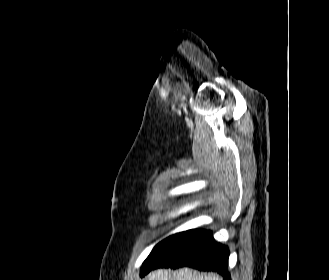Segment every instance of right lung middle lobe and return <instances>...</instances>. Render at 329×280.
<instances>
[{
    "mask_svg": "<svg viewBox=\"0 0 329 280\" xmlns=\"http://www.w3.org/2000/svg\"><path fill=\"white\" fill-rule=\"evenodd\" d=\"M180 234L181 233H177L165 238L153 248L152 252L143 263L141 275H144L150 267L158 262L162 254L169 248V246Z\"/></svg>",
    "mask_w": 329,
    "mask_h": 280,
    "instance_id": "1",
    "label": "right lung middle lobe"
}]
</instances>
